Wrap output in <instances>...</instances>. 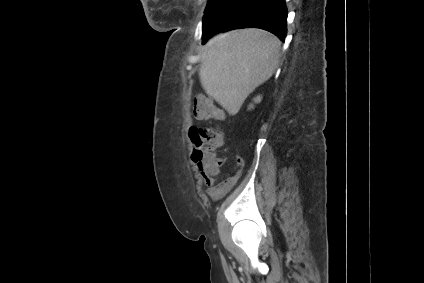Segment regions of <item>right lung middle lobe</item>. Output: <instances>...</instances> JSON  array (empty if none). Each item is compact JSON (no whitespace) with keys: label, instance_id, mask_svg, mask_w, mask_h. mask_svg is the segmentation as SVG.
Segmentation results:
<instances>
[{"label":"right lung middle lobe","instance_id":"right-lung-middle-lobe-1","mask_svg":"<svg viewBox=\"0 0 424 283\" xmlns=\"http://www.w3.org/2000/svg\"><path fill=\"white\" fill-rule=\"evenodd\" d=\"M227 1L228 0H209L203 17V28L214 16L218 14V12L226 5Z\"/></svg>","mask_w":424,"mask_h":283}]
</instances>
